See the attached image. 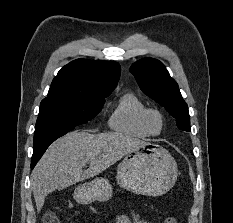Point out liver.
<instances>
[{"label": "liver", "mask_w": 233, "mask_h": 223, "mask_svg": "<svg viewBox=\"0 0 233 223\" xmlns=\"http://www.w3.org/2000/svg\"><path fill=\"white\" fill-rule=\"evenodd\" d=\"M144 141L125 133L70 131L50 145L35 165L30 181L36 209L41 211L50 191L95 177ZM89 163L87 169H83Z\"/></svg>", "instance_id": "liver-1"}]
</instances>
